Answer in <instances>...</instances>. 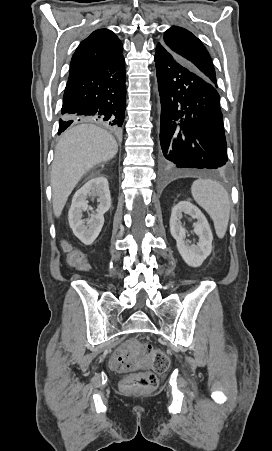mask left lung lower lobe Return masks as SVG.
I'll use <instances>...</instances> for the list:
<instances>
[{
	"label": "left lung lower lobe",
	"instance_id": "obj_1",
	"mask_svg": "<svg viewBox=\"0 0 272 451\" xmlns=\"http://www.w3.org/2000/svg\"><path fill=\"white\" fill-rule=\"evenodd\" d=\"M161 100L160 158L167 169H226L217 87L163 43L154 57Z\"/></svg>",
	"mask_w": 272,
	"mask_h": 451
}]
</instances>
